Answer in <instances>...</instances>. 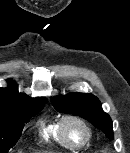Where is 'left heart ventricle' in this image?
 <instances>
[{
    "instance_id": "1",
    "label": "left heart ventricle",
    "mask_w": 130,
    "mask_h": 153,
    "mask_svg": "<svg viewBox=\"0 0 130 153\" xmlns=\"http://www.w3.org/2000/svg\"><path fill=\"white\" fill-rule=\"evenodd\" d=\"M66 133L69 140L76 145L81 144L85 139V133L82 127L74 122H71L67 125Z\"/></svg>"
}]
</instances>
